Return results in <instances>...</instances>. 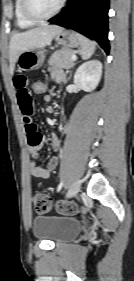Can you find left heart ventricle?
<instances>
[{
  "label": "left heart ventricle",
  "instance_id": "left-heart-ventricle-1",
  "mask_svg": "<svg viewBox=\"0 0 134 281\" xmlns=\"http://www.w3.org/2000/svg\"><path fill=\"white\" fill-rule=\"evenodd\" d=\"M60 0H32L33 8L40 14L52 12L59 4Z\"/></svg>",
  "mask_w": 134,
  "mask_h": 281
}]
</instances>
